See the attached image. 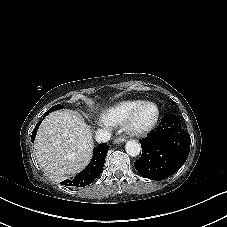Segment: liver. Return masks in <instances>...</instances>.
I'll list each match as a JSON object with an SVG mask.
<instances>
[{"mask_svg":"<svg viewBox=\"0 0 227 227\" xmlns=\"http://www.w3.org/2000/svg\"><path fill=\"white\" fill-rule=\"evenodd\" d=\"M92 132L80 115L70 110L49 114L41 123L34 142L40 166L62 177L84 169L92 158Z\"/></svg>","mask_w":227,"mask_h":227,"instance_id":"1","label":"liver"}]
</instances>
